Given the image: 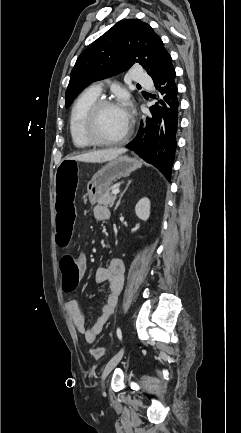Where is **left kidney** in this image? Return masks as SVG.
I'll list each match as a JSON object with an SVG mask.
<instances>
[{"label":"left kidney","mask_w":241,"mask_h":433,"mask_svg":"<svg viewBox=\"0 0 241 433\" xmlns=\"http://www.w3.org/2000/svg\"><path fill=\"white\" fill-rule=\"evenodd\" d=\"M135 213L141 220H148L150 216V200L148 198H142L135 206Z\"/></svg>","instance_id":"left-kidney-1"}]
</instances>
